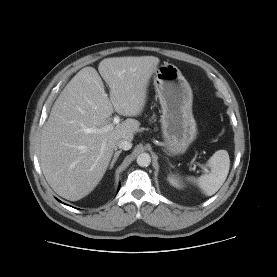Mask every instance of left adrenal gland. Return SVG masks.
<instances>
[{"label":"left adrenal gland","mask_w":277,"mask_h":277,"mask_svg":"<svg viewBox=\"0 0 277 277\" xmlns=\"http://www.w3.org/2000/svg\"><path fill=\"white\" fill-rule=\"evenodd\" d=\"M169 165H170L171 167H173V165H172L171 163H169Z\"/></svg>","instance_id":"1"}]
</instances>
